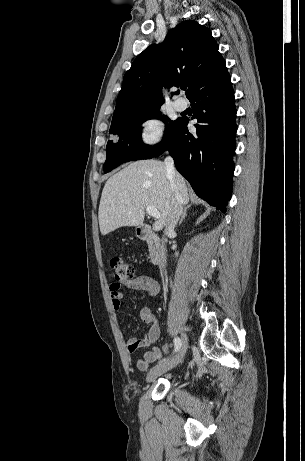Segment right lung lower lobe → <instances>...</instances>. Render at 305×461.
Here are the masks:
<instances>
[{
    "label": "right lung lower lobe",
    "instance_id": "1",
    "mask_svg": "<svg viewBox=\"0 0 305 461\" xmlns=\"http://www.w3.org/2000/svg\"><path fill=\"white\" fill-rule=\"evenodd\" d=\"M189 100L195 109L193 118L198 120L196 133H189V120L180 118L167 142L151 158L168 150L177 170L190 182L196 194L225 212L232 191V155L237 131V111L229 73Z\"/></svg>",
    "mask_w": 305,
    "mask_h": 461
}]
</instances>
